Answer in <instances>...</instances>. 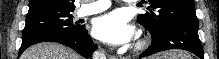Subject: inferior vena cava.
Returning a JSON list of instances; mask_svg holds the SVG:
<instances>
[{
	"label": "inferior vena cava",
	"instance_id": "obj_1",
	"mask_svg": "<svg viewBox=\"0 0 219 59\" xmlns=\"http://www.w3.org/2000/svg\"><path fill=\"white\" fill-rule=\"evenodd\" d=\"M93 58L94 59H106L105 54L103 51L98 50L96 52L93 53Z\"/></svg>",
	"mask_w": 219,
	"mask_h": 59
}]
</instances>
